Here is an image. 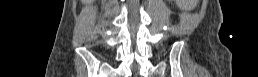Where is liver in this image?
<instances>
[{
    "instance_id": "obj_1",
    "label": "liver",
    "mask_w": 258,
    "mask_h": 77,
    "mask_svg": "<svg viewBox=\"0 0 258 77\" xmlns=\"http://www.w3.org/2000/svg\"><path fill=\"white\" fill-rule=\"evenodd\" d=\"M82 2H84V3H85V2H87V1H86V0H83Z\"/></svg>"
}]
</instances>
